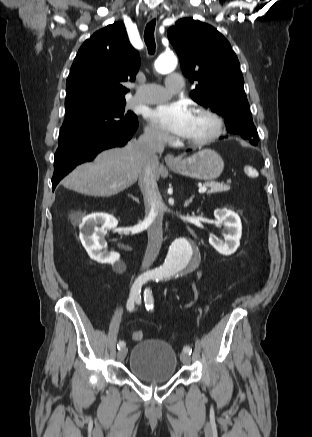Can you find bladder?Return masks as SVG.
I'll use <instances>...</instances> for the list:
<instances>
[{
    "mask_svg": "<svg viewBox=\"0 0 312 437\" xmlns=\"http://www.w3.org/2000/svg\"><path fill=\"white\" fill-rule=\"evenodd\" d=\"M176 368V352L164 340H143L138 342L131 351L130 373L143 382L165 383L174 377Z\"/></svg>",
    "mask_w": 312,
    "mask_h": 437,
    "instance_id": "obj_1",
    "label": "bladder"
}]
</instances>
